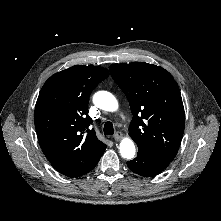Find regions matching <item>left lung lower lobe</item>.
<instances>
[{
    "instance_id": "1",
    "label": "left lung lower lobe",
    "mask_w": 221,
    "mask_h": 221,
    "mask_svg": "<svg viewBox=\"0 0 221 221\" xmlns=\"http://www.w3.org/2000/svg\"><path fill=\"white\" fill-rule=\"evenodd\" d=\"M169 163V161L138 153L135 159L127 162V166L138 175L151 177L163 171Z\"/></svg>"
}]
</instances>
